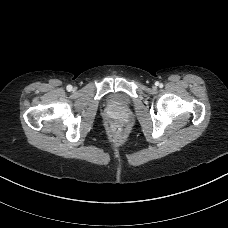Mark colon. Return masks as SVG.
I'll use <instances>...</instances> for the list:
<instances>
[{"mask_svg": "<svg viewBox=\"0 0 228 228\" xmlns=\"http://www.w3.org/2000/svg\"><path fill=\"white\" fill-rule=\"evenodd\" d=\"M112 136L115 139H119L121 137V130L118 126H114L112 130Z\"/></svg>", "mask_w": 228, "mask_h": 228, "instance_id": "5ec220e1", "label": "colon"}]
</instances>
